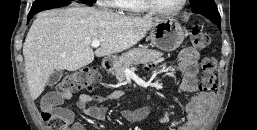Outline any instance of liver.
<instances>
[{
	"label": "liver",
	"mask_w": 257,
	"mask_h": 130,
	"mask_svg": "<svg viewBox=\"0 0 257 130\" xmlns=\"http://www.w3.org/2000/svg\"><path fill=\"white\" fill-rule=\"evenodd\" d=\"M127 17L90 7L48 10L37 15L23 45L31 98L44 91L55 70L76 71L103 57L123 52L142 40L159 21ZM102 40L93 51L91 43Z\"/></svg>",
	"instance_id": "6515ba94"
}]
</instances>
